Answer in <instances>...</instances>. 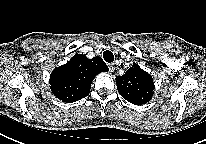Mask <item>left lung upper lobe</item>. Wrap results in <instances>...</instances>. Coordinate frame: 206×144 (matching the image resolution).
<instances>
[{
    "label": "left lung upper lobe",
    "mask_w": 206,
    "mask_h": 144,
    "mask_svg": "<svg viewBox=\"0 0 206 144\" xmlns=\"http://www.w3.org/2000/svg\"><path fill=\"white\" fill-rule=\"evenodd\" d=\"M116 83L120 95L135 105L149 102L155 87L152 77L135 63L124 75L116 77Z\"/></svg>",
    "instance_id": "left-lung-upper-lobe-1"
}]
</instances>
